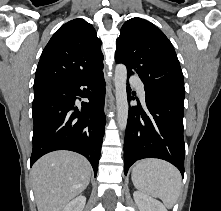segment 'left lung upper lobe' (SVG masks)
Listing matches in <instances>:
<instances>
[{
    "label": "left lung upper lobe",
    "instance_id": "1",
    "mask_svg": "<svg viewBox=\"0 0 221 211\" xmlns=\"http://www.w3.org/2000/svg\"><path fill=\"white\" fill-rule=\"evenodd\" d=\"M115 60L126 65L128 74L136 72L146 89L185 95L175 50L151 22L136 17L124 23L116 43Z\"/></svg>",
    "mask_w": 221,
    "mask_h": 211
}]
</instances>
